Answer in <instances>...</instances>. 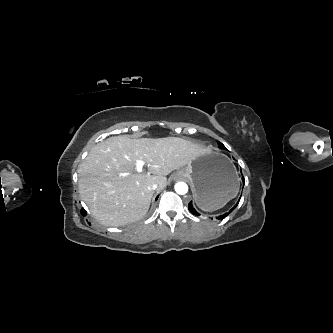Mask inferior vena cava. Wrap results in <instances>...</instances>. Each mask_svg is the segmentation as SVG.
Listing matches in <instances>:
<instances>
[{
    "mask_svg": "<svg viewBox=\"0 0 333 333\" xmlns=\"http://www.w3.org/2000/svg\"><path fill=\"white\" fill-rule=\"evenodd\" d=\"M158 188L157 183H153L152 185L149 186L150 190H156Z\"/></svg>",
    "mask_w": 333,
    "mask_h": 333,
    "instance_id": "obj_1",
    "label": "inferior vena cava"
}]
</instances>
